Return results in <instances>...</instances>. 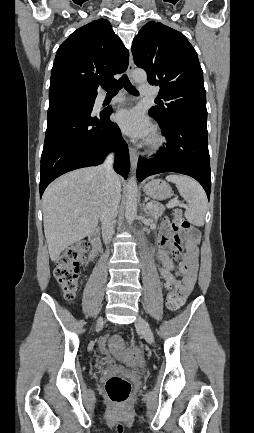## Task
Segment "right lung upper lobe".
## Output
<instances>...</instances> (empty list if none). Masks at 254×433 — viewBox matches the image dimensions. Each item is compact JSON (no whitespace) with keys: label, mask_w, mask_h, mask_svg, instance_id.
Masks as SVG:
<instances>
[{"label":"right lung upper lobe","mask_w":254,"mask_h":433,"mask_svg":"<svg viewBox=\"0 0 254 433\" xmlns=\"http://www.w3.org/2000/svg\"><path fill=\"white\" fill-rule=\"evenodd\" d=\"M129 53L106 19L74 31L59 47L51 70L49 100L96 98L99 85L124 72Z\"/></svg>","instance_id":"obj_1"}]
</instances>
